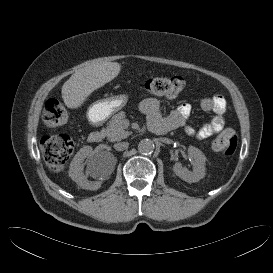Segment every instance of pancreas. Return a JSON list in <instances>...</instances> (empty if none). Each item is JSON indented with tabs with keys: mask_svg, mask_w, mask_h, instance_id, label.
I'll return each instance as SVG.
<instances>
[{
	"mask_svg": "<svg viewBox=\"0 0 273 273\" xmlns=\"http://www.w3.org/2000/svg\"><path fill=\"white\" fill-rule=\"evenodd\" d=\"M125 117V112L115 114L104 129V133L110 142L120 141L130 135V133L125 130L126 127L123 125Z\"/></svg>",
	"mask_w": 273,
	"mask_h": 273,
	"instance_id": "1",
	"label": "pancreas"
}]
</instances>
